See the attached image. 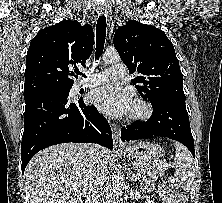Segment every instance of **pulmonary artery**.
Masks as SVG:
<instances>
[{"label":"pulmonary artery","mask_w":222,"mask_h":203,"mask_svg":"<svg viewBox=\"0 0 222 203\" xmlns=\"http://www.w3.org/2000/svg\"><path fill=\"white\" fill-rule=\"evenodd\" d=\"M127 68L123 63H117L110 69L98 73H91L89 78L81 80L78 83L79 88L92 87L106 83L113 79L122 78L126 75Z\"/></svg>","instance_id":"1"}]
</instances>
